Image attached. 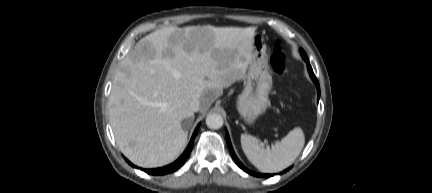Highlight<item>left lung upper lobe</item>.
<instances>
[{"label": "left lung upper lobe", "instance_id": "obj_1", "mask_svg": "<svg viewBox=\"0 0 432 193\" xmlns=\"http://www.w3.org/2000/svg\"><path fill=\"white\" fill-rule=\"evenodd\" d=\"M300 53H301V55H303V54L306 55V53H305L304 50H302V49H300Z\"/></svg>", "mask_w": 432, "mask_h": 193}]
</instances>
